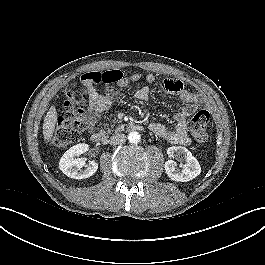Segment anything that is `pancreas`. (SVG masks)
Instances as JSON below:
<instances>
[{
  "instance_id": "obj_1",
  "label": "pancreas",
  "mask_w": 265,
  "mask_h": 265,
  "mask_svg": "<svg viewBox=\"0 0 265 265\" xmlns=\"http://www.w3.org/2000/svg\"><path fill=\"white\" fill-rule=\"evenodd\" d=\"M122 130H124V125L121 124V125L118 126V129L116 131H122Z\"/></svg>"
}]
</instances>
